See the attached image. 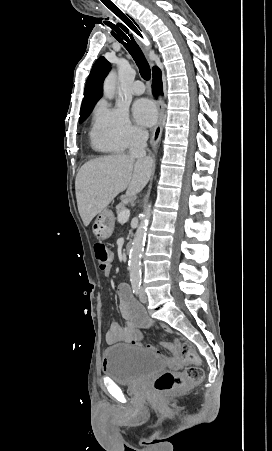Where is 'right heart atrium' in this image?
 <instances>
[{
	"label": "right heart atrium",
	"mask_w": 272,
	"mask_h": 451,
	"mask_svg": "<svg viewBox=\"0 0 272 451\" xmlns=\"http://www.w3.org/2000/svg\"><path fill=\"white\" fill-rule=\"evenodd\" d=\"M139 128L135 126L124 107H112L100 103L95 111L94 135L102 142L119 149H125L138 135Z\"/></svg>",
	"instance_id": "1"
}]
</instances>
